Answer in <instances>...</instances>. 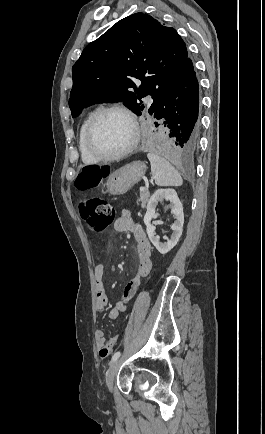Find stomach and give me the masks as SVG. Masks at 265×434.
I'll use <instances>...</instances> for the list:
<instances>
[{
    "label": "stomach",
    "mask_w": 265,
    "mask_h": 434,
    "mask_svg": "<svg viewBox=\"0 0 265 434\" xmlns=\"http://www.w3.org/2000/svg\"><path fill=\"white\" fill-rule=\"evenodd\" d=\"M146 170L144 162H131V164L119 168V170L110 174L105 184L107 188L106 192L113 194V196L126 194L134 184L140 182Z\"/></svg>",
    "instance_id": "1"
}]
</instances>
